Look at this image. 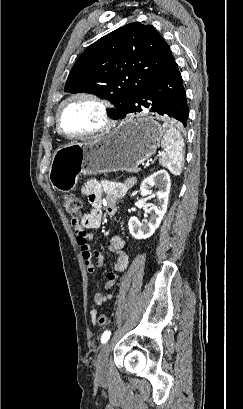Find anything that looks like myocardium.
I'll return each mask as SVG.
<instances>
[{
  "label": "myocardium",
  "instance_id": "myocardium-1",
  "mask_svg": "<svg viewBox=\"0 0 243 409\" xmlns=\"http://www.w3.org/2000/svg\"><path fill=\"white\" fill-rule=\"evenodd\" d=\"M76 99H86L89 100L91 102H93L94 104H96V106L99 109V113H100V118H101V125L97 128L94 129L92 131L86 132V133H81V134H75V135H70V134H66L62 127H61V114L62 111L64 109V107L71 101L76 100ZM114 126V121L111 117L110 114V105L109 103L104 100L103 98H101L100 96H98L95 93H91V92H86V91H81V92H76L71 94L70 96H68L66 99H64L56 112V129L57 132L64 138L68 139V140H77V139H84V138H88V137H93V136H98L101 134H105L107 132H109Z\"/></svg>",
  "mask_w": 243,
  "mask_h": 409
}]
</instances>
